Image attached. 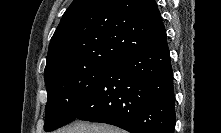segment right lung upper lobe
<instances>
[{"label":"right lung upper lobe","instance_id":"1","mask_svg":"<svg viewBox=\"0 0 221 133\" xmlns=\"http://www.w3.org/2000/svg\"><path fill=\"white\" fill-rule=\"evenodd\" d=\"M166 40L155 0H74L51 38L44 76L69 66L112 64Z\"/></svg>","mask_w":221,"mask_h":133}]
</instances>
